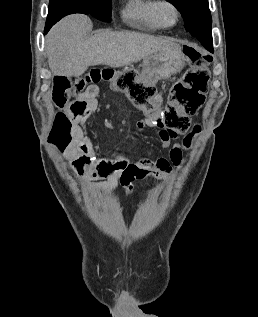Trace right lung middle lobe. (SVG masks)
I'll return each instance as SVG.
<instances>
[{
	"mask_svg": "<svg viewBox=\"0 0 258 317\" xmlns=\"http://www.w3.org/2000/svg\"><path fill=\"white\" fill-rule=\"evenodd\" d=\"M55 0H50V2ZM85 3H90L95 10V18L110 22L111 21V0H84Z\"/></svg>",
	"mask_w": 258,
	"mask_h": 317,
	"instance_id": "right-lung-middle-lobe-1",
	"label": "right lung middle lobe"
}]
</instances>
